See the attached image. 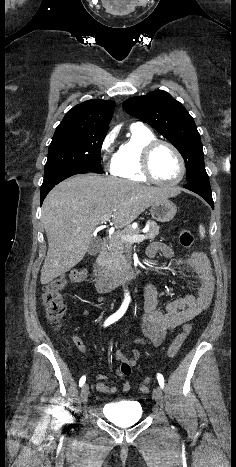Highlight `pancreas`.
I'll return each mask as SVG.
<instances>
[{
	"label": "pancreas",
	"mask_w": 236,
	"mask_h": 467,
	"mask_svg": "<svg viewBox=\"0 0 236 467\" xmlns=\"http://www.w3.org/2000/svg\"><path fill=\"white\" fill-rule=\"evenodd\" d=\"M149 231L145 234V239L153 240L159 234V226L155 221L149 220ZM140 232L139 229L131 227L125 228L123 231L113 234L109 240L108 250L104 254V267L111 275H116L128 266V261L125 252L130 248L131 243L123 241L121 235H136Z\"/></svg>",
	"instance_id": "cf45deb5"
}]
</instances>
